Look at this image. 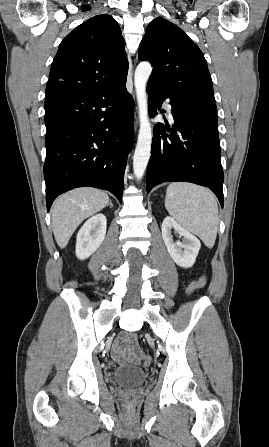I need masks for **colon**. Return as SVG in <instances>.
<instances>
[{
  "instance_id": "obj_1",
  "label": "colon",
  "mask_w": 269,
  "mask_h": 447,
  "mask_svg": "<svg viewBox=\"0 0 269 447\" xmlns=\"http://www.w3.org/2000/svg\"><path fill=\"white\" fill-rule=\"evenodd\" d=\"M207 282L205 276H202L194 281H192L189 286L185 288L186 295H191L195 290L203 287ZM139 362L142 366H149L151 363V358L148 355H141Z\"/></svg>"
}]
</instances>
